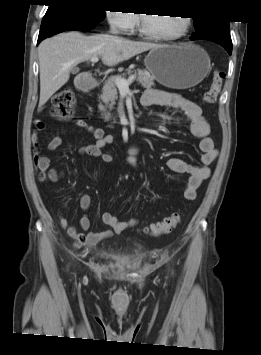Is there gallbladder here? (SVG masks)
<instances>
[{
	"mask_svg": "<svg viewBox=\"0 0 261 355\" xmlns=\"http://www.w3.org/2000/svg\"><path fill=\"white\" fill-rule=\"evenodd\" d=\"M72 72H73V73L79 72V68H78V67H74V68L72 69Z\"/></svg>",
	"mask_w": 261,
	"mask_h": 355,
	"instance_id": "bac80fb5",
	"label": "gallbladder"
}]
</instances>
